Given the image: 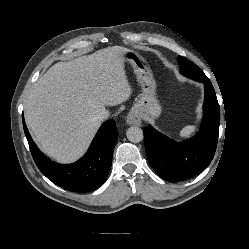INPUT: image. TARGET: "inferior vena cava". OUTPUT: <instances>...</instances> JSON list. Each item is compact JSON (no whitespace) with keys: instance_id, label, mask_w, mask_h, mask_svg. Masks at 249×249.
<instances>
[{"instance_id":"obj_1","label":"inferior vena cava","mask_w":249,"mask_h":249,"mask_svg":"<svg viewBox=\"0 0 249 249\" xmlns=\"http://www.w3.org/2000/svg\"><path fill=\"white\" fill-rule=\"evenodd\" d=\"M109 115H110V113L108 110H103L97 114V119L99 121H103V120L107 119Z\"/></svg>"}]
</instances>
